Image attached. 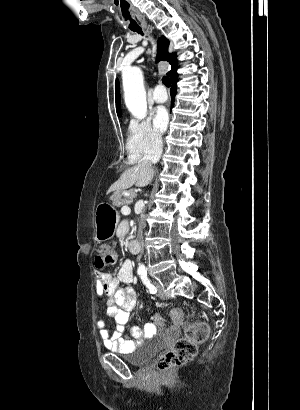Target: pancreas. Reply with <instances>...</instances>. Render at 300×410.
<instances>
[{
    "instance_id": "obj_1",
    "label": "pancreas",
    "mask_w": 300,
    "mask_h": 410,
    "mask_svg": "<svg viewBox=\"0 0 300 410\" xmlns=\"http://www.w3.org/2000/svg\"><path fill=\"white\" fill-rule=\"evenodd\" d=\"M135 197V193L131 192L130 196H124L121 193L119 194L117 201H116V206H122L124 204H130L133 201V198Z\"/></svg>"
}]
</instances>
